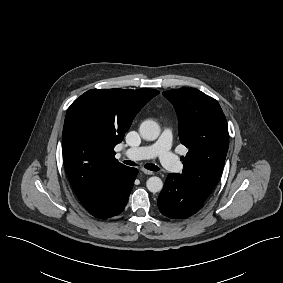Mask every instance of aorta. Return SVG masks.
I'll list each match as a JSON object with an SVG mask.
<instances>
[{
    "label": "aorta",
    "mask_w": 283,
    "mask_h": 283,
    "mask_svg": "<svg viewBox=\"0 0 283 283\" xmlns=\"http://www.w3.org/2000/svg\"><path fill=\"white\" fill-rule=\"evenodd\" d=\"M160 131V126L153 120H145L139 128L141 137L147 141L156 140ZM146 187L152 193L160 192L163 188V182L159 177L153 176L147 180Z\"/></svg>",
    "instance_id": "obj_1"
}]
</instances>
